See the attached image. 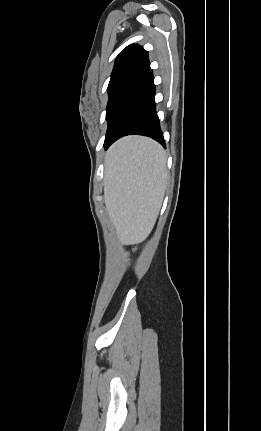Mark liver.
Here are the masks:
<instances>
[{
    "mask_svg": "<svg viewBox=\"0 0 261 431\" xmlns=\"http://www.w3.org/2000/svg\"><path fill=\"white\" fill-rule=\"evenodd\" d=\"M166 184V155L156 141L127 136L108 149L104 202L121 243H139L151 231Z\"/></svg>",
    "mask_w": 261,
    "mask_h": 431,
    "instance_id": "6515ba94",
    "label": "liver"
}]
</instances>
